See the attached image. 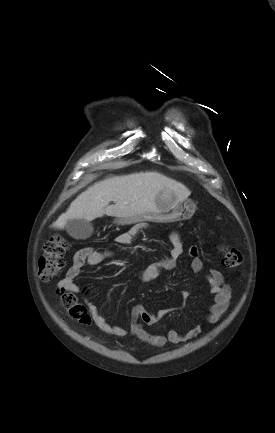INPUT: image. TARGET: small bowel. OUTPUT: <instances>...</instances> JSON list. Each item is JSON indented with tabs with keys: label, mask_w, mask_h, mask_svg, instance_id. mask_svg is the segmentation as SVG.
I'll use <instances>...</instances> for the list:
<instances>
[{
	"label": "small bowel",
	"mask_w": 275,
	"mask_h": 433,
	"mask_svg": "<svg viewBox=\"0 0 275 433\" xmlns=\"http://www.w3.org/2000/svg\"><path fill=\"white\" fill-rule=\"evenodd\" d=\"M136 230H129L120 233L116 237V242L121 246H130L136 236ZM172 247L169 255L160 259L137 273V279L142 282H148L156 279L162 272L171 271L175 268L177 259L183 253V245L181 238L177 232H173L170 236ZM189 256L191 257V269L194 273H199L203 268L202 260L199 257V248L191 246L189 248ZM112 258V254L107 251H98L92 247H85L77 251L73 257L72 266L68 269L65 277L59 282V287L63 290L74 294L87 292L76 283L81 269L84 266H97L107 259ZM209 291L213 295V304L209 309L206 321L210 324L219 322L228 310L231 298L230 287L225 283L224 276L217 269H210L206 277ZM188 294L182 293V297L186 298ZM87 307L92 314L95 324L104 332L117 337H123L127 334V330L118 325H111L105 317L100 313L98 308L90 302H87ZM166 314V310H160L156 313L148 311L143 305H137L132 309L131 320L129 324V333L139 340L149 344L155 348H162L167 342L173 344L183 343L197 337L201 333V327L180 332L172 329L168 334H153L148 332L143 325L154 327L158 324L161 318ZM139 319L142 323L139 322Z\"/></svg>",
	"instance_id": "obj_1"
}]
</instances>
